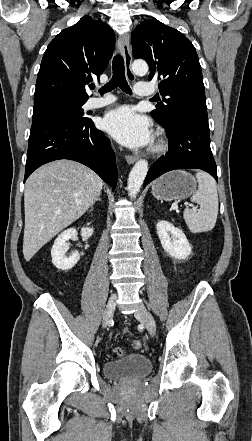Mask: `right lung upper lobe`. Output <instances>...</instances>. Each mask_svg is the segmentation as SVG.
I'll return each mask as SVG.
<instances>
[{
	"mask_svg": "<svg viewBox=\"0 0 252 441\" xmlns=\"http://www.w3.org/2000/svg\"><path fill=\"white\" fill-rule=\"evenodd\" d=\"M115 45L107 23L83 16L48 45L37 76L34 103L50 99L87 100L85 85L107 68Z\"/></svg>",
	"mask_w": 252,
	"mask_h": 441,
	"instance_id": "cb5924a9",
	"label": "right lung upper lobe"
}]
</instances>
